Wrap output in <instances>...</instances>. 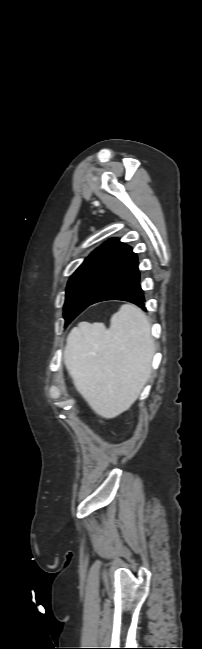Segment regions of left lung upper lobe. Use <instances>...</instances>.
Here are the masks:
<instances>
[{"label": "left lung upper lobe", "mask_w": 202, "mask_h": 649, "mask_svg": "<svg viewBox=\"0 0 202 649\" xmlns=\"http://www.w3.org/2000/svg\"><path fill=\"white\" fill-rule=\"evenodd\" d=\"M131 250L118 239H111L85 259L68 281L63 313L65 326L88 306Z\"/></svg>", "instance_id": "obj_1"}]
</instances>
